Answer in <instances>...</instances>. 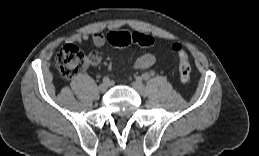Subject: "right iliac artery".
<instances>
[{
    "label": "right iliac artery",
    "instance_id": "obj_1",
    "mask_svg": "<svg viewBox=\"0 0 259 156\" xmlns=\"http://www.w3.org/2000/svg\"><path fill=\"white\" fill-rule=\"evenodd\" d=\"M109 81H110L109 77L106 76L103 78V82L108 83Z\"/></svg>",
    "mask_w": 259,
    "mask_h": 156
}]
</instances>
